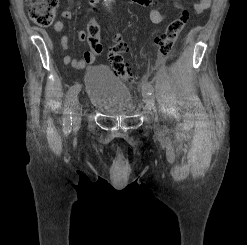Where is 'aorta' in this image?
<instances>
[{
  "label": "aorta",
  "mask_w": 247,
  "mask_h": 245,
  "mask_svg": "<svg viewBox=\"0 0 247 245\" xmlns=\"http://www.w3.org/2000/svg\"><path fill=\"white\" fill-rule=\"evenodd\" d=\"M104 1H105L106 6H107L108 8H110L111 3H112L113 0H104Z\"/></svg>",
  "instance_id": "obj_1"
}]
</instances>
